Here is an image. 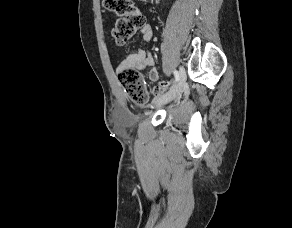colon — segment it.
I'll return each mask as SVG.
<instances>
[{
	"mask_svg": "<svg viewBox=\"0 0 292 228\" xmlns=\"http://www.w3.org/2000/svg\"><path fill=\"white\" fill-rule=\"evenodd\" d=\"M105 8L117 16L112 35L119 45L130 40L134 33L145 25L143 14L136 9L131 0H103ZM119 82L127 96L136 104H144L148 95L142 74L133 68L118 74Z\"/></svg>",
	"mask_w": 292,
	"mask_h": 228,
	"instance_id": "5ec220e1",
	"label": "colon"
}]
</instances>
